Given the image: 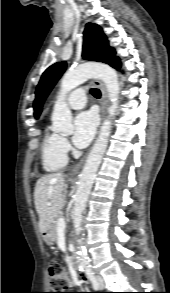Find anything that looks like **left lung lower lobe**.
Returning <instances> with one entry per match:
<instances>
[{"instance_id": "0a47b994", "label": "left lung lower lobe", "mask_w": 170, "mask_h": 293, "mask_svg": "<svg viewBox=\"0 0 170 293\" xmlns=\"http://www.w3.org/2000/svg\"><path fill=\"white\" fill-rule=\"evenodd\" d=\"M110 65L116 69H119L121 67V63H120L119 58L116 57Z\"/></svg>"}]
</instances>
